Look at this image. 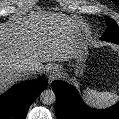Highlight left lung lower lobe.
<instances>
[{
	"label": "left lung lower lobe",
	"instance_id": "obj_1",
	"mask_svg": "<svg viewBox=\"0 0 119 119\" xmlns=\"http://www.w3.org/2000/svg\"><path fill=\"white\" fill-rule=\"evenodd\" d=\"M112 42L119 45V39ZM52 89L57 98L55 107L57 119H119V103L105 110H96L88 107L77 90L68 83L54 81Z\"/></svg>",
	"mask_w": 119,
	"mask_h": 119
}]
</instances>
